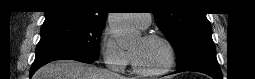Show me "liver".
<instances>
[{
  "instance_id": "6515ba94",
  "label": "liver",
  "mask_w": 255,
  "mask_h": 79,
  "mask_svg": "<svg viewBox=\"0 0 255 79\" xmlns=\"http://www.w3.org/2000/svg\"><path fill=\"white\" fill-rule=\"evenodd\" d=\"M33 79H127L109 70L76 60H57L41 67Z\"/></svg>"
}]
</instances>
